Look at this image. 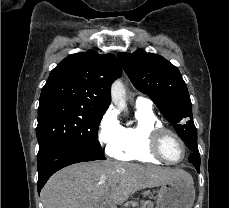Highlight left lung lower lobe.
Returning a JSON list of instances; mask_svg holds the SVG:
<instances>
[{
    "label": "left lung lower lobe",
    "mask_w": 229,
    "mask_h": 208,
    "mask_svg": "<svg viewBox=\"0 0 229 208\" xmlns=\"http://www.w3.org/2000/svg\"><path fill=\"white\" fill-rule=\"evenodd\" d=\"M186 146L192 151V154L189 156L188 161L192 163L197 172L199 173L200 169V155L197 147V138L196 139H188L183 140Z\"/></svg>",
    "instance_id": "1"
}]
</instances>
